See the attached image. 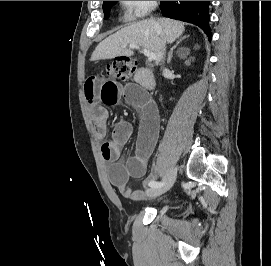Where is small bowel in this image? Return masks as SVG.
<instances>
[{
    "instance_id": "1",
    "label": "small bowel",
    "mask_w": 271,
    "mask_h": 266,
    "mask_svg": "<svg viewBox=\"0 0 271 266\" xmlns=\"http://www.w3.org/2000/svg\"><path fill=\"white\" fill-rule=\"evenodd\" d=\"M84 95L90 104V114L96 135L104 139L101 145L103 158L110 162L109 178L127 199L146 200L149 182L154 181L153 172L145 181V190H132L130 178H140L147 170V162L159 134V115L154 103L133 83H119L106 75H93L86 79ZM137 109L140 125L137 133L136 150L125 162L119 160L124 145L133 135V126L126 120L118 121L110 138L108 135V112L105 106H115L121 100ZM148 185V186H147Z\"/></svg>"
}]
</instances>
